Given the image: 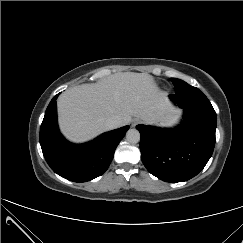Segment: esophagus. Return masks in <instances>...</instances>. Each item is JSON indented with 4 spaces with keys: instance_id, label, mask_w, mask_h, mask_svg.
I'll list each match as a JSON object with an SVG mask.
<instances>
[{
    "instance_id": "obj_1",
    "label": "esophagus",
    "mask_w": 243,
    "mask_h": 243,
    "mask_svg": "<svg viewBox=\"0 0 243 243\" xmlns=\"http://www.w3.org/2000/svg\"><path fill=\"white\" fill-rule=\"evenodd\" d=\"M139 123V119H133L132 126L135 127Z\"/></svg>"
}]
</instances>
